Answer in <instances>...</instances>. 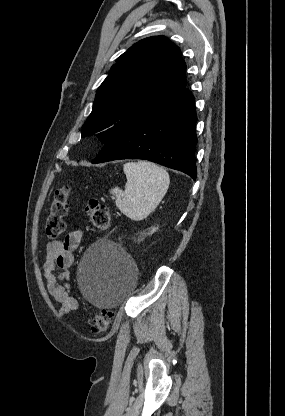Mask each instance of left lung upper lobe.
Returning <instances> with one entry per match:
<instances>
[{"instance_id":"left-lung-upper-lobe-1","label":"left lung upper lobe","mask_w":285,"mask_h":416,"mask_svg":"<svg viewBox=\"0 0 285 416\" xmlns=\"http://www.w3.org/2000/svg\"><path fill=\"white\" fill-rule=\"evenodd\" d=\"M116 62L98 88L82 130V137L96 135L104 144L186 88V64L180 49L166 37L145 38Z\"/></svg>"}]
</instances>
